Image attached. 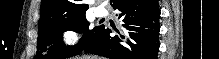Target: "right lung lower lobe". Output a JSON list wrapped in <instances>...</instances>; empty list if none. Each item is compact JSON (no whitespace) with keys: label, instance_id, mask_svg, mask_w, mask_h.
Segmentation results:
<instances>
[{"label":"right lung lower lobe","instance_id":"obj_1","mask_svg":"<svg viewBox=\"0 0 219 59\" xmlns=\"http://www.w3.org/2000/svg\"><path fill=\"white\" fill-rule=\"evenodd\" d=\"M123 30L102 28L85 52L111 59H157L160 9L158 0H112ZM112 34V35H110Z\"/></svg>","mask_w":219,"mask_h":59}]
</instances>
